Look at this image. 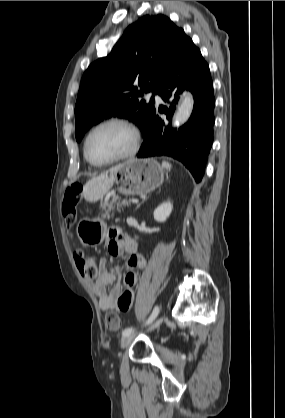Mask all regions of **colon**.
I'll use <instances>...</instances> for the list:
<instances>
[{"label": "colon", "instance_id": "1", "mask_svg": "<svg viewBox=\"0 0 285 418\" xmlns=\"http://www.w3.org/2000/svg\"><path fill=\"white\" fill-rule=\"evenodd\" d=\"M78 187H68L64 192L61 205V213L67 225L73 226L78 220ZM77 267L84 278L93 279L97 276L99 267L93 256L87 255L84 250L76 249L74 252ZM106 328L109 331H118L121 327V320L117 313L108 312L105 318Z\"/></svg>", "mask_w": 285, "mask_h": 418}]
</instances>
